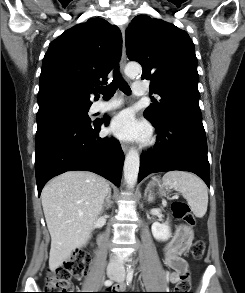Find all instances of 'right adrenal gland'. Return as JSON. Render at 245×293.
Listing matches in <instances>:
<instances>
[{
	"instance_id": "2a0ac1e0",
	"label": "right adrenal gland",
	"mask_w": 245,
	"mask_h": 293,
	"mask_svg": "<svg viewBox=\"0 0 245 293\" xmlns=\"http://www.w3.org/2000/svg\"><path fill=\"white\" fill-rule=\"evenodd\" d=\"M111 204H112V202H111V189H110L109 193L105 199V202L103 204L102 210L109 209L111 207Z\"/></svg>"
}]
</instances>
